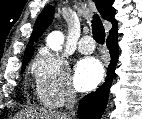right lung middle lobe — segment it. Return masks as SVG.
<instances>
[{"instance_id":"1","label":"right lung middle lobe","mask_w":142,"mask_h":119,"mask_svg":"<svg viewBox=\"0 0 142 119\" xmlns=\"http://www.w3.org/2000/svg\"><path fill=\"white\" fill-rule=\"evenodd\" d=\"M27 63H28V61H26V62L23 63V66H22V72L24 71V69H25Z\"/></svg>"}]
</instances>
